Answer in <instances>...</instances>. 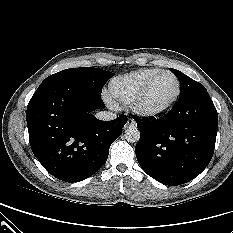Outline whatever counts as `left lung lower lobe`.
Instances as JSON below:
<instances>
[{"instance_id":"1","label":"left lung lower lobe","mask_w":233,"mask_h":233,"mask_svg":"<svg viewBox=\"0 0 233 233\" xmlns=\"http://www.w3.org/2000/svg\"><path fill=\"white\" fill-rule=\"evenodd\" d=\"M140 130L137 160L152 178L180 185L197 177L209 164L216 142L218 114L207 90L178 99L163 117H134Z\"/></svg>"}]
</instances>
